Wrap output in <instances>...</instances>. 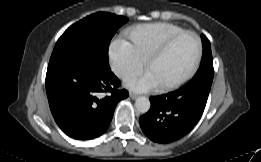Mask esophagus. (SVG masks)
Returning a JSON list of instances; mask_svg holds the SVG:
<instances>
[{"label":"esophagus","mask_w":261,"mask_h":162,"mask_svg":"<svg viewBox=\"0 0 261 162\" xmlns=\"http://www.w3.org/2000/svg\"><path fill=\"white\" fill-rule=\"evenodd\" d=\"M129 97H130L131 99H137V98H138V95L133 94V93H130V94H129Z\"/></svg>","instance_id":"1"}]
</instances>
